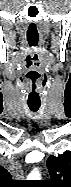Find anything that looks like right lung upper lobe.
I'll return each instance as SVG.
<instances>
[{"instance_id":"right-lung-upper-lobe-1","label":"right lung upper lobe","mask_w":71,"mask_h":187,"mask_svg":"<svg viewBox=\"0 0 71 187\" xmlns=\"http://www.w3.org/2000/svg\"><path fill=\"white\" fill-rule=\"evenodd\" d=\"M0 171H1L2 177H4V179H6V180L11 179V175L9 174V172L6 169L1 168Z\"/></svg>"}]
</instances>
